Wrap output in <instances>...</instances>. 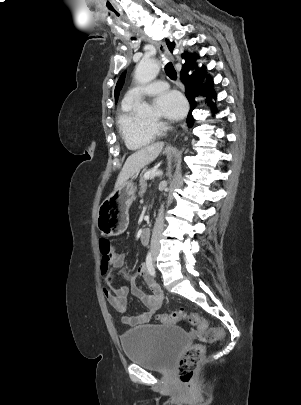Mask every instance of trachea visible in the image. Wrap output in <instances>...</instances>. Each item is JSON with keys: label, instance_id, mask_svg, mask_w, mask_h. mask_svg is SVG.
Wrapping results in <instances>:
<instances>
[{"label": "trachea", "instance_id": "obj_1", "mask_svg": "<svg viewBox=\"0 0 301 405\" xmlns=\"http://www.w3.org/2000/svg\"><path fill=\"white\" fill-rule=\"evenodd\" d=\"M132 40H136V38L133 37ZM165 72H166V74L169 76L170 79H172V80H176V79H177V72H176V70L174 69V67H173V65H172L171 62H168V63L165 65Z\"/></svg>", "mask_w": 301, "mask_h": 405}]
</instances>
